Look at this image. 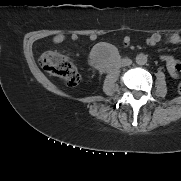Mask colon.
Wrapping results in <instances>:
<instances>
[{"mask_svg": "<svg viewBox=\"0 0 181 181\" xmlns=\"http://www.w3.org/2000/svg\"><path fill=\"white\" fill-rule=\"evenodd\" d=\"M40 63L48 74L62 79L69 86H76L80 81V74L76 66L58 52L43 53L40 57ZM178 89L181 93V83Z\"/></svg>", "mask_w": 181, "mask_h": 181, "instance_id": "obj_1", "label": "colon"}]
</instances>
